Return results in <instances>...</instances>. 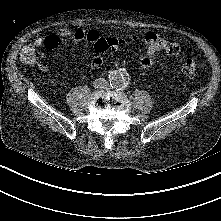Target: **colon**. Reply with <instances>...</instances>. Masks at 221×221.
<instances>
[{"mask_svg": "<svg viewBox=\"0 0 221 221\" xmlns=\"http://www.w3.org/2000/svg\"><path fill=\"white\" fill-rule=\"evenodd\" d=\"M123 44L122 40L115 38H100L94 43V49L98 53H104L110 48L117 47ZM37 59V49L35 45L29 44L23 47L20 52V60L24 64H33ZM197 73V66L192 58H188L184 61L180 67V74L184 77H194Z\"/></svg>", "mask_w": 221, "mask_h": 221, "instance_id": "1", "label": "colon"}]
</instances>
